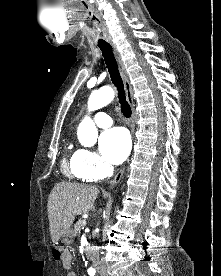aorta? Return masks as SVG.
<instances>
[{
  "label": "aorta",
  "mask_w": 221,
  "mask_h": 276,
  "mask_svg": "<svg viewBox=\"0 0 221 276\" xmlns=\"http://www.w3.org/2000/svg\"><path fill=\"white\" fill-rule=\"evenodd\" d=\"M115 93L111 87H103L91 93L88 100L89 111H95L109 104L114 99ZM77 136L85 147L93 146L98 138V130L90 117H85L79 124Z\"/></svg>",
  "instance_id": "762f6f07"
}]
</instances>
